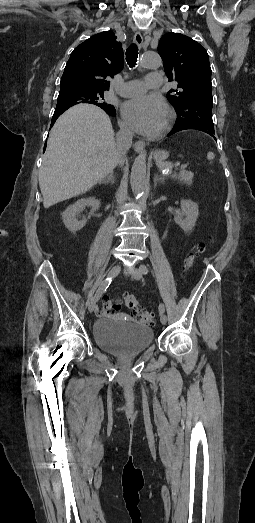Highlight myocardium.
<instances>
[{"label": "myocardium", "instance_id": "1", "mask_svg": "<svg viewBox=\"0 0 255 523\" xmlns=\"http://www.w3.org/2000/svg\"><path fill=\"white\" fill-rule=\"evenodd\" d=\"M166 110L168 112V121H167L165 128L163 129L162 132H160L158 137H162V136L166 135L167 133H169L176 120V112L170 105H166Z\"/></svg>", "mask_w": 255, "mask_h": 523}]
</instances>
